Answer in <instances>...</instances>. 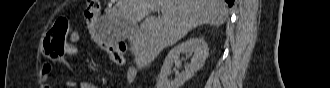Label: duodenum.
<instances>
[{
  "label": "duodenum",
  "mask_w": 330,
  "mask_h": 88,
  "mask_svg": "<svg viewBox=\"0 0 330 88\" xmlns=\"http://www.w3.org/2000/svg\"><path fill=\"white\" fill-rule=\"evenodd\" d=\"M130 75H131V76H135V75H136V72H135L134 69H131V70H130Z\"/></svg>",
  "instance_id": "obj_1"
}]
</instances>
